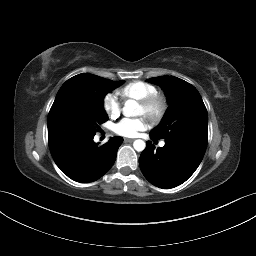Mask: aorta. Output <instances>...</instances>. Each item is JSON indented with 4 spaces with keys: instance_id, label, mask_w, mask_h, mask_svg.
I'll use <instances>...</instances> for the list:
<instances>
[{
    "instance_id": "762f6f07",
    "label": "aorta",
    "mask_w": 256,
    "mask_h": 256,
    "mask_svg": "<svg viewBox=\"0 0 256 256\" xmlns=\"http://www.w3.org/2000/svg\"><path fill=\"white\" fill-rule=\"evenodd\" d=\"M123 115L126 117L140 115L138 103L135 100H127L123 107ZM133 147L136 151L141 152L145 149L146 143L143 140L138 139L133 142Z\"/></svg>"
}]
</instances>
